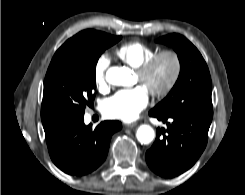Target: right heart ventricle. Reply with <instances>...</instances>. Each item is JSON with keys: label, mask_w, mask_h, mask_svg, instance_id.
<instances>
[{"label": "right heart ventricle", "mask_w": 245, "mask_h": 195, "mask_svg": "<svg viewBox=\"0 0 245 195\" xmlns=\"http://www.w3.org/2000/svg\"><path fill=\"white\" fill-rule=\"evenodd\" d=\"M156 49L140 41H132L116 49V56L126 65L137 69L143 62L156 53Z\"/></svg>", "instance_id": "right-heart-ventricle-1"}]
</instances>
